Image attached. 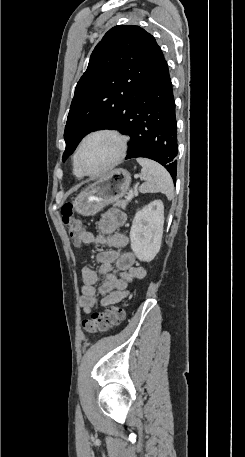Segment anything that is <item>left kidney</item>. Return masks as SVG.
I'll use <instances>...</instances> for the list:
<instances>
[{
    "label": "left kidney",
    "mask_w": 245,
    "mask_h": 457,
    "mask_svg": "<svg viewBox=\"0 0 245 457\" xmlns=\"http://www.w3.org/2000/svg\"><path fill=\"white\" fill-rule=\"evenodd\" d=\"M164 224L162 200H152L136 212L130 231L131 249L139 261L150 263L160 251Z\"/></svg>",
    "instance_id": "1"
}]
</instances>
